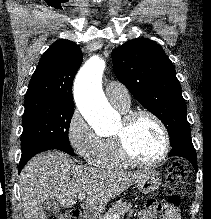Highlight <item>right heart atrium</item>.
Segmentation results:
<instances>
[{
    "mask_svg": "<svg viewBox=\"0 0 211 219\" xmlns=\"http://www.w3.org/2000/svg\"><path fill=\"white\" fill-rule=\"evenodd\" d=\"M66 136L72 150L85 160L91 159L100 141L78 110H74L70 116Z\"/></svg>",
    "mask_w": 211,
    "mask_h": 219,
    "instance_id": "d8ad5b80",
    "label": "right heart atrium"
}]
</instances>
